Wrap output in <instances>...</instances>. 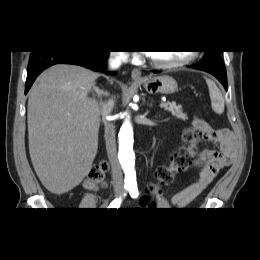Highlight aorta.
Listing matches in <instances>:
<instances>
[{
	"label": "aorta",
	"instance_id": "obj_1",
	"mask_svg": "<svg viewBox=\"0 0 260 260\" xmlns=\"http://www.w3.org/2000/svg\"><path fill=\"white\" fill-rule=\"evenodd\" d=\"M124 122L118 134L119 151L118 159L125 173V182L127 184L136 183L135 172V153L133 151V127L130 116L125 113Z\"/></svg>",
	"mask_w": 260,
	"mask_h": 260
}]
</instances>
